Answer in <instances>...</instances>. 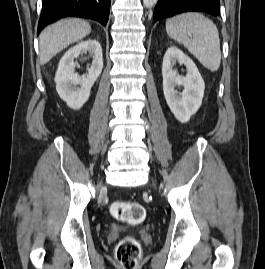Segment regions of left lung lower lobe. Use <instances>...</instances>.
<instances>
[{
  "mask_svg": "<svg viewBox=\"0 0 265 269\" xmlns=\"http://www.w3.org/2000/svg\"><path fill=\"white\" fill-rule=\"evenodd\" d=\"M219 0H158L153 21L172 17L183 12H206L213 16H219Z\"/></svg>",
  "mask_w": 265,
  "mask_h": 269,
  "instance_id": "1",
  "label": "left lung lower lobe"
}]
</instances>
